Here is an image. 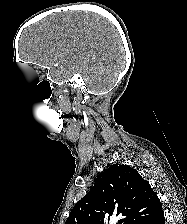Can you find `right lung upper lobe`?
I'll use <instances>...</instances> for the list:
<instances>
[{
	"mask_svg": "<svg viewBox=\"0 0 187 224\" xmlns=\"http://www.w3.org/2000/svg\"><path fill=\"white\" fill-rule=\"evenodd\" d=\"M162 210L160 200L137 170L114 164L98 175L91 190L75 204L65 224H137Z\"/></svg>",
	"mask_w": 187,
	"mask_h": 224,
	"instance_id": "obj_1",
	"label": "right lung upper lobe"
}]
</instances>
